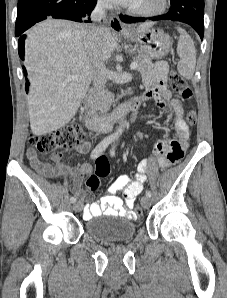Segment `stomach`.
Segmentation results:
<instances>
[{
  "label": "stomach",
  "instance_id": "1",
  "mask_svg": "<svg viewBox=\"0 0 227 298\" xmlns=\"http://www.w3.org/2000/svg\"><path fill=\"white\" fill-rule=\"evenodd\" d=\"M123 34L125 38L138 45L143 53L151 59H162L172 47L171 38L160 29L147 28L144 31L130 29L125 30Z\"/></svg>",
  "mask_w": 227,
  "mask_h": 298
}]
</instances>
